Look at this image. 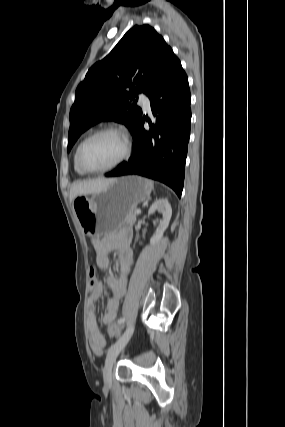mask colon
<instances>
[{"mask_svg":"<svg viewBox=\"0 0 285 427\" xmlns=\"http://www.w3.org/2000/svg\"><path fill=\"white\" fill-rule=\"evenodd\" d=\"M98 283L97 280V273L96 270L93 267H90L89 269V287L90 289L94 288ZM120 333V329L117 326H112L110 328V334L112 336H118Z\"/></svg>","mask_w":285,"mask_h":427,"instance_id":"colon-1","label":"colon"}]
</instances>
